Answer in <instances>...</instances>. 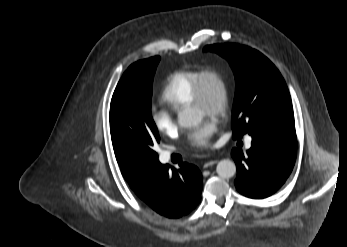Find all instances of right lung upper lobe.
<instances>
[{
  "instance_id": "cb5924a9",
  "label": "right lung upper lobe",
  "mask_w": 347,
  "mask_h": 247,
  "mask_svg": "<svg viewBox=\"0 0 347 247\" xmlns=\"http://www.w3.org/2000/svg\"><path fill=\"white\" fill-rule=\"evenodd\" d=\"M113 148L122 175L137 195L143 194L148 189L150 180L157 171V165L146 166L114 146Z\"/></svg>"
}]
</instances>
